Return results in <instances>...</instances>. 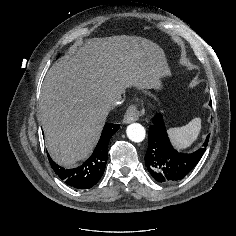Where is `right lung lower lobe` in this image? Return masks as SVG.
Listing matches in <instances>:
<instances>
[{
  "instance_id": "98d812e1",
  "label": "right lung lower lobe",
  "mask_w": 236,
  "mask_h": 236,
  "mask_svg": "<svg viewBox=\"0 0 236 236\" xmlns=\"http://www.w3.org/2000/svg\"><path fill=\"white\" fill-rule=\"evenodd\" d=\"M119 129V124L107 123L100 140L88 160L74 169H65L49 159L54 172L67 185L76 189H88L102 177L108 158L107 148L112 135Z\"/></svg>"
}]
</instances>
